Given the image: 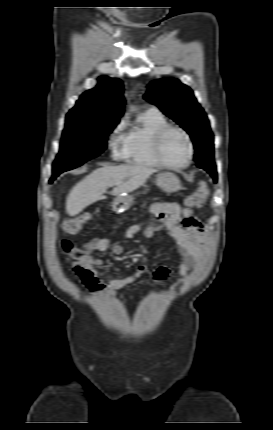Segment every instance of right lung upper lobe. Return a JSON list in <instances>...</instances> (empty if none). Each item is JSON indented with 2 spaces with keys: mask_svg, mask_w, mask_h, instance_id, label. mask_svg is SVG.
Masks as SVG:
<instances>
[{
  "mask_svg": "<svg viewBox=\"0 0 273 430\" xmlns=\"http://www.w3.org/2000/svg\"><path fill=\"white\" fill-rule=\"evenodd\" d=\"M124 102L123 83L116 78L100 77L98 85L84 92L68 114L119 121L124 112Z\"/></svg>",
  "mask_w": 273,
  "mask_h": 430,
  "instance_id": "cb5924a9",
  "label": "right lung upper lobe"
}]
</instances>
